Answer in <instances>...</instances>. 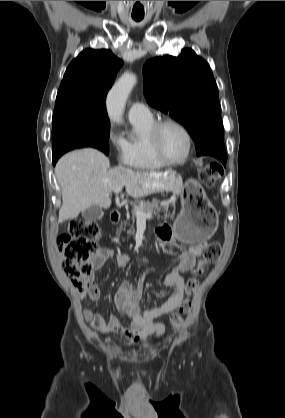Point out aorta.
I'll use <instances>...</instances> for the list:
<instances>
[{
	"label": "aorta",
	"mask_w": 285,
	"mask_h": 418,
	"mask_svg": "<svg viewBox=\"0 0 285 418\" xmlns=\"http://www.w3.org/2000/svg\"><path fill=\"white\" fill-rule=\"evenodd\" d=\"M136 82L134 74L124 73L108 93L106 105L109 117L114 123H122L126 100Z\"/></svg>",
	"instance_id": "1"
}]
</instances>
